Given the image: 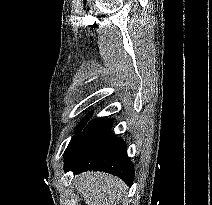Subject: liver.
Wrapping results in <instances>:
<instances>
[{"mask_svg":"<svg viewBox=\"0 0 212 205\" xmlns=\"http://www.w3.org/2000/svg\"><path fill=\"white\" fill-rule=\"evenodd\" d=\"M77 191L86 205H116L124 199L126 185L104 172H86L77 176Z\"/></svg>","mask_w":212,"mask_h":205,"instance_id":"obj_1","label":"liver"}]
</instances>
